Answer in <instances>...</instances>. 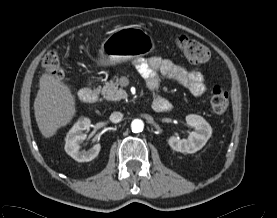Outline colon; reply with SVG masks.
Listing matches in <instances>:
<instances>
[{
  "instance_id": "5ec220e1",
  "label": "colon",
  "mask_w": 277,
  "mask_h": 218,
  "mask_svg": "<svg viewBox=\"0 0 277 218\" xmlns=\"http://www.w3.org/2000/svg\"><path fill=\"white\" fill-rule=\"evenodd\" d=\"M176 46L187 59V61H189L191 64H202L205 63L209 58L208 48L202 43L189 37L179 36L176 39ZM42 67L47 73L56 79L60 80L64 77V71L60 64L59 54L54 50L45 54L42 60ZM228 104V90L224 87L216 86L213 89L210 99L212 110L217 114H221L227 110Z\"/></svg>"
}]
</instances>
